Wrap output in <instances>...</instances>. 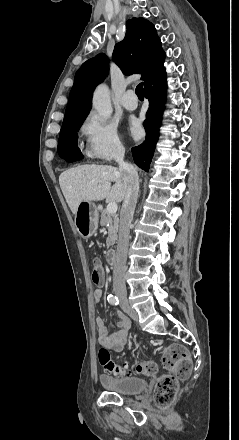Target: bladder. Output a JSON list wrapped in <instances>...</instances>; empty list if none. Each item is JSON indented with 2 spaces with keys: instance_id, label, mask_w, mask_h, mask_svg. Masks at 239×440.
Returning a JSON list of instances; mask_svg holds the SVG:
<instances>
[{
  "instance_id": "1",
  "label": "bladder",
  "mask_w": 239,
  "mask_h": 440,
  "mask_svg": "<svg viewBox=\"0 0 239 440\" xmlns=\"http://www.w3.org/2000/svg\"><path fill=\"white\" fill-rule=\"evenodd\" d=\"M99 381L107 391L123 395L138 394L147 387V381L139 377H115L108 374H101Z\"/></svg>"
}]
</instances>
